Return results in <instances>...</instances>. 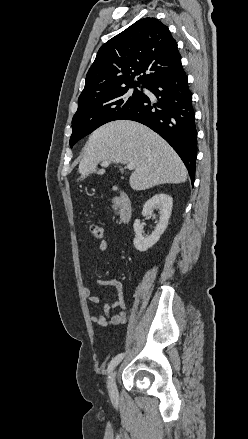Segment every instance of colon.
Instances as JSON below:
<instances>
[{"label":"colon","mask_w":248,"mask_h":439,"mask_svg":"<svg viewBox=\"0 0 248 439\" xmlns=\"http://www.w3.org/2000/svg\"><path fill=\"white\" fill-rule=\"evenodd\" d=\"M90 232H91V234H92L94 239L102 240L103 235H104V231H103V228L100 225L92 224L90 226Z\"/></svg>","instance_id":"1"}]
</instances>
